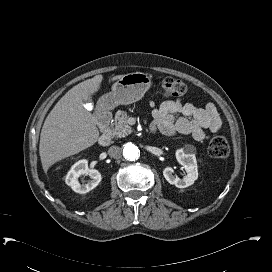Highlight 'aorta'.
<instances>
[{
	"instance_id": "obj_1",
	"label": "aorta",
	"mask_w": 272,
	"mask_h": 272,
	"mask_svg": "<svg viewBox=\"0 0 272 272\" xmlns=\"http://www.w3.org/2000/svg\"><path fill=\"white\" fill-rule=\"evenodd\" d=\"M123 156L129 161H135L140 156V150L134 143H126L123 147Z\"/></svg>"
}]
</instances>
